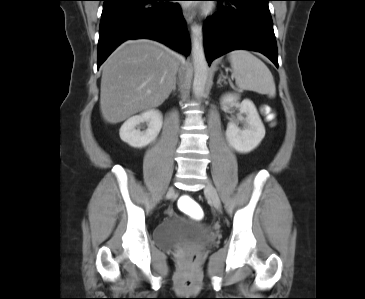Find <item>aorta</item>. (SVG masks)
<instances>
[{
    "instance_id": "762f6f07",
    "label": "aorta",
    "mask_w": 365,
    "mask_h": 299,
    "mask_svg": "<svg viewBox=\"0 0 365 299\" xmlns=\"http://www.w3.org/2000/svg\"><path fill=\"white\" fill-rule=\"evenodd\" d=\"M191 43L195 70L193 92L195 96L200 97L204 92L208 79V63L204 52L203 31L201 25L195 24L192 27Z\"/></svg>"
}]
</instances>
